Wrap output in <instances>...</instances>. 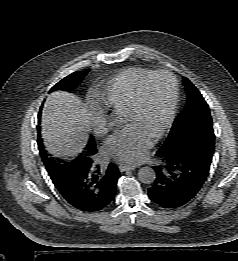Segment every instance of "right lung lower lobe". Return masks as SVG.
Instances as JSON below:
<instances>
[{
    "instance_id": "1",
    "label": "right lung lower lobe",
    "mask_w": 238,
    "mask_h": 261,
    "mask_svg": "<svg viewBox=\"0 0 238 261\" xmlns=\"http://www.w3.org/2000/svg\"><path fill=\"white\" fill-rule=\"evenodd\" d=\"M38 134L40 136L39 127ZM119 176L115 164L110 163L107 169L101 170L93 155H82L65 176L52 181L70 205L84 212H96L107 208L114 200Z\"/></svg>"
}]
</instances>
